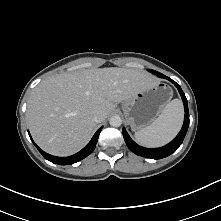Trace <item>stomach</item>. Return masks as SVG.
<instances>
[{
    "mask_svg": "<svg viewBox=\"0 0 221 221\" xmlns=\"http://www.w3.org/2000/svg\"><path fill=\"white\" fill-rule=\"evenodd\" d=\"M173 96L170 86L158 82L137 92L122 104L127 123L133 131L149 126Z\"/></svg>",
    "mask_w": 221,
    "mask_h": 221,
    "instance_id": "obj_1",
    "label": "stomach"
}]
</instances>
